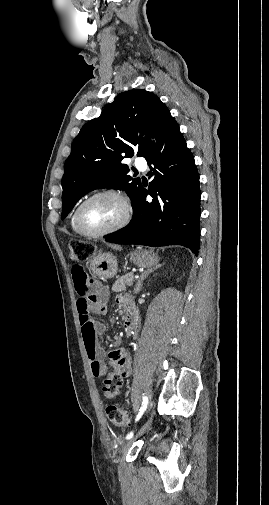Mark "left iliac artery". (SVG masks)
<instances>
[{"label":"left iliac artery","instance_id":"1","mask_svg":"<svg viewBox=\"0 0 269 505\" xmlns=\"http://www.w3.org/2000/svg\"><path fill=\"white\" fill-rule=\"evenodd\" d=\"M147 405H148V397L146 395H143L142 407L140 408V410L135 418V422H137L141 418V416L143 415L144 411L147 408ZM133 434H134V432L130 431L126 436V440L131 439L133 437Z\"/></svg>","mask_w":269,"mask_h":505}]
</instances>
